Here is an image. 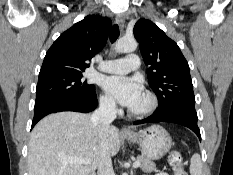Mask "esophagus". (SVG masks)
Here are the masks:
<instances>
[{"instance_id":"34e87169","label":"esophagus","mask_w":233,"mask_h":175,"mask_svg":"<svg viewBox=\"0 0 233 175\" xmlns=\"http://www.w3.org/2000/svg\"><path fill=\"white\" fill-rule=\"evenodd\" d=\"M116 23L120 26L121 29H123L124 24H125V20H124L123 16L117 15L116 16ZM121 133L124 135H128L131 133V131L127 127H122Z\"/></svg>"}]
</instances>
